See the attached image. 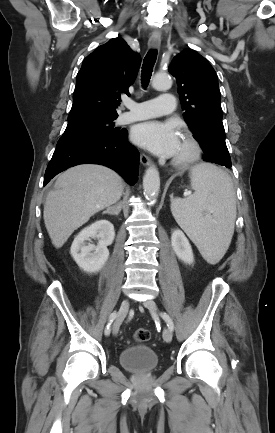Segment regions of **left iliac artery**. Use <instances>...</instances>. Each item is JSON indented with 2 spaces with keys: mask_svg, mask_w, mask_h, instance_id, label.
Here are the masks:
<instances>
[{
  "mask_svg": "<svg viewBox=\"0 0 275 433\" xmlns=\"http://www.w3.org/2000/svg\"><path fill=\"white\" fill-rule=\"evenodd\" d=\"M161 316H162V318L166 321L168 328H169L171 331H173V329H174V324H173L172 319L169 317V315H168L167 313L164 312V313L161 314Z\"/></svg>",
  "mask_w": 275,
  "mask_h": 433,
  "instance_id": "1",
  "label": "left iliac artery"
}]
</instances>
